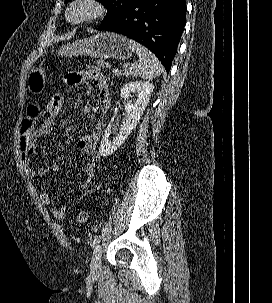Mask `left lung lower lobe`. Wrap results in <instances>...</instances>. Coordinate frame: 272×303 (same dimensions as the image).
<instances>
[{"mask_svg": "<svg viewBox=\"0 0 272 303\" xmlns=\"http://www.w3.org/2000/svg\"><path fill=\"white\" fill-rule=\"evenodd\" d=\"M186 22L185 0H138L98 30L123 34L151 50L169 72Z\"/></svg>", "mask_w": 272, "mask_h": 303, "instance_id": "obj_1", "label": "left lung lower lobe"}]
</instances>
